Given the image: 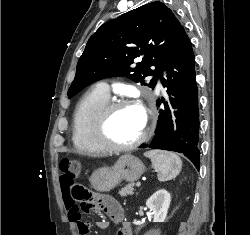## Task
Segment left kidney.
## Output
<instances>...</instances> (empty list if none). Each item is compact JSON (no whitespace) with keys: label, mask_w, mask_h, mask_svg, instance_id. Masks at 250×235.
<instances>
[{"label":"left kidney","mask_w":250,"mask_h":235,"mask_svg":"<svg viewBox=\"0 0 250 235\" xmlns=\"http://www.w3.org/2000/svg\"><path fill=\"white\" fill-rule=\"evenodd\" d=\"M171 202V195L165 189L156 191L147 201L146 206L153 212L154 222H164Z\"/></svg>","instance_id":"1"}]
</instances>
